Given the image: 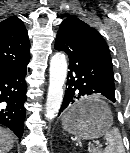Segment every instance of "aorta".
<instances>
[{
  "label": "aorta",
  "mask_w": 130,
  "mask_h": 153,
  "mask_svg": "<svg viewBox=\"0 0 130 153\" xmlns=\"http://www.w3.org/2000/svg\"><path fill=\"white\" fill-rule=\"evenodd\" d=\"M50 78L46 101L45 116L48 120L56 117L63 100V86L67 76V61L65 55L56 53L50 60Z\"/></svg>",
  "instance_id": "obj_1"
}]
</instances>
